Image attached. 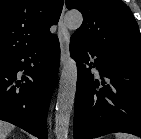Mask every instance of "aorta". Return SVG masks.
I'll use <instances>...</instances> for the list:
<instances>
[{"instance_id":"1","label":"aorta","mask_w":141,"mask_h":139,"mask_svg":"<svg viewBox=\"0 0 141 139\" xmlns=\"http://www.w3.org/2000/svg\"><path fill=\"white\" fill-rule=\"evenodd\" d=\"M83 22L79 11L65 14L64 23L69 30H77ZM77 84V65L70 56L62 68L55 112L56 139H67L70 117L74 105Z\"/></svg>"}]
</instances>
